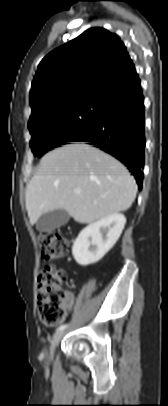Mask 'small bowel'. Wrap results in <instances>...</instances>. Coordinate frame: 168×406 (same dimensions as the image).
<instances>
[{
	"label": "small bowel",
	"instance_id": "1",
	"mask_svg": "<svg viewBox=\"0 0 168 406\" xmlns=\"http://www.w3.org/2000/svg\"><path fill=\"white\" fill-rule=\"evenodd\" d=\"M74 306V295L71 292H67L64 299L65 311H70Z\"/></svg>",
	"mask_w": 168,
	"mask_h": 406
}]
</instances>
